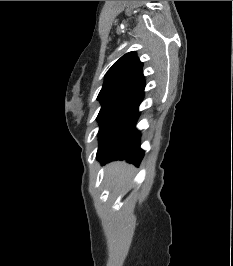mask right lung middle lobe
<instances>
[{"instance_id": "obj_1", "label": "right lung middle lobe", "mask_w": 233, "mask_h": 266, "mask_svg": "<svg viewBox=\"0 0 233 266\" xmlns=\"http://www.w3.org/2000/svg\"><path fill=\"white\" fill-rule=\"evenodd\" d=\"M101 110L97 120L100 124L99 148L130 118L143 100V93H126L98 98Z\"/></svg>"}]
</instances>
